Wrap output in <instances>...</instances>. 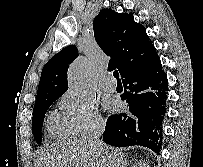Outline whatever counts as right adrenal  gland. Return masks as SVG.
<instances>
[{"instance_id":"2a0ac1e0","label":"right adrenal gland","mask_w":203,"mask_h":167,"mask_svg":"<svg viewBox=\"0 0 203 167\" xmlns=\"http://www.w3.org/2000/svg\"><path fill=\"white\" fill-rule=\"evenodd\" d=\"M130 162H131V160H130ZM127 163H128V161H125V163L122 167H127Z\"/></svg>"}]
</instances>
